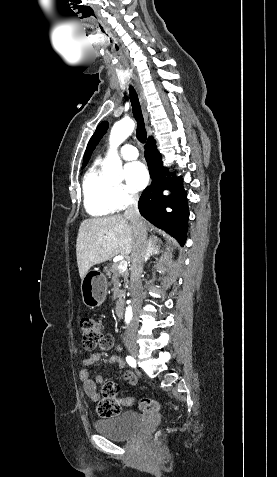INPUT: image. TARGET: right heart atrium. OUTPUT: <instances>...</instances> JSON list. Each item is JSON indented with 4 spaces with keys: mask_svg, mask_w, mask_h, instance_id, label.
Masks as SVG:
<instances>
[{
    "mask_svg": "<svg viewBox=\"0 0 277 477\" xmlns=\"http://www.w3.org/2000/svg\"><path fill=\"white\" fill-rule=\"evenodd\" d=\"M137 198V194L124 185H115L113 188V199L117 210L126 208L135 202Z\"/></svg>",
    "mask_w": 277,
    "mask_h": 477,
    "instance_id": "obj_1",
    "label": "right heart atrium"
}]
</instances>
